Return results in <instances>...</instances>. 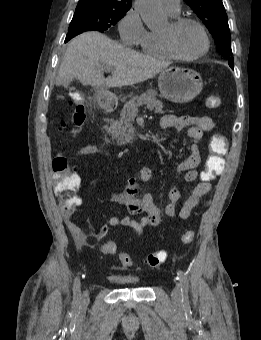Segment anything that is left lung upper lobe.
Returning <instances> with one entry per match:
<instances>
[{"mask_svg": "<svg viewBox=\"0 0 261 340\" xmlns=\"http://www.w3.org/2000/svg\"><path fill=\"white\" fill-rule=\"evenodd\" d=\"M213 35L218 52L234 64L228 18L222 0H184Z\"/></svg>", "mask_w": 261, "mask_h": 340, "instance_id": "obj_1", "label": "left lung upper lobe"}]
</instances>
